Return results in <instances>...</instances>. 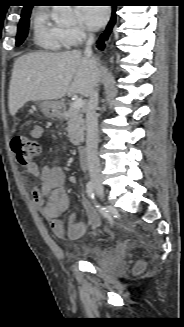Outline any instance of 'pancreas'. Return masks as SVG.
<instances>
[{
  "label": "pancreas",
  "mask_w": 184,
  "mask_h": 327,
  "mask_svg": "<svg viewBox=\"0 0 184 327\" xmlns=\"http://www.w3.org/2000/svg\"><path fill=\"white\" fill-rule=\"evenodd\" d=\"M67 121V132L70 141L79 145L84 140L85 121L80 110L70 107L65 116Z\"/></svg>",
  "instance_id": "cf45deb5"
}]
</instances>
